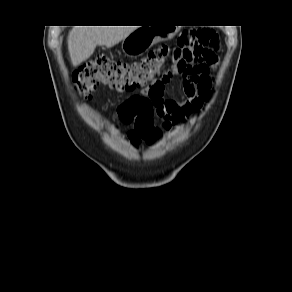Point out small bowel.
I'll list each match as a JSON object with an SVG mask.
<instances>
[{"mask_svg":"<svg viewBox=\"0 0 292 292\" xmlns=\"http://www.w3.org/2000/svg\"><path fill=\"white\" fill-rule=\"evenodd\" d=\"M216 49L217 46L207 59L200 61L191 72L183 75L182 86L185 94L183 100L165 99L163 97V86L155 114V118H158L161 123L159 126L154 123L159 138L163 132H169L196 116L210 99L213 83L210 72L218 63ZM126 139L135 148L142 141H145L142 131L135 124L127 132Z\"/></svg>","mask_w":292,"mask_h":292,"instance_id":"obj_1","label":"small bowel"}]
</instances>
